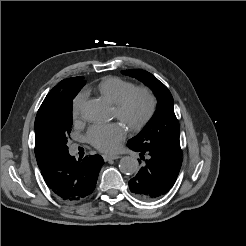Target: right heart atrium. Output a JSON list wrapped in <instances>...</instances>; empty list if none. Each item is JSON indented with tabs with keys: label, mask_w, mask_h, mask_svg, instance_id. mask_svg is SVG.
I'll list each match as a JSON object with an SVG mask.
<instances>
[{
	"label": "right heart atrium",
	"mask_w": 246,
	"mask_h": 246,
	"mask_svg": "<svg viewBox=\"0 0 246 246\" xmlns=\"http://www.w3.org/2000/svg\"><path fill=\"white\" fill-rule=\"evenodd\" d=\"M85 98L86 94L84 92H81L74 97L72 102V115L74 119L80 117Z\"/></svg>",
	"instance_id": "obj_1"
}]
</instances>
